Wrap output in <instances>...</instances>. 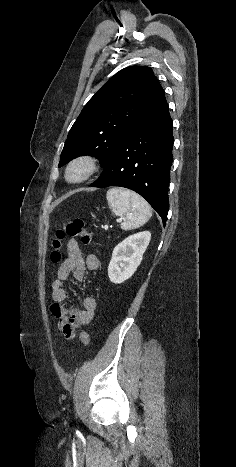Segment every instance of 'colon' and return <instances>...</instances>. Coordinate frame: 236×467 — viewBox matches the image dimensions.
Segmentation results:
<instances>
[{"mask_svg":"<svg viewBox=\"0 0 236 467\" xmlns=\"http://www.w3.org/2000/svg\"><path fill=\"white\" fill-rule=\"evenodd\" d=\"M66 237L79 238L84 245H89L92 240V234L85 228L84 222L80 218H74L63 222L55 231L52 240L51 260L53 263H59L62 259L63 241ZM80 339L84 345L90 342L87 330L80 332Z\"/></svg>","mask_w":236,"mask_h":467,"instance_id":"obj_1","label":"colon"}]
</instances>
